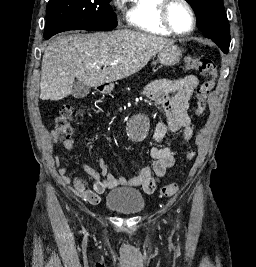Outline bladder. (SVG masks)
<instances>
[{
    "instance_id": "1",
    "label": "bladder",
    "mask_w": 256,
    "mask_h": 267,
    "mask_svg": "<svg viewBox=\"0 0 256 267\" xmlns=\"http://www.w3.org/2000/svg\"><path fill=\"white\" fill-rule=\"evenodd\" d=\"M105 205L121 216L135 215L144 209L140 192L129 189H117L108 193Z\"/></svg>"
}]
</instances>
